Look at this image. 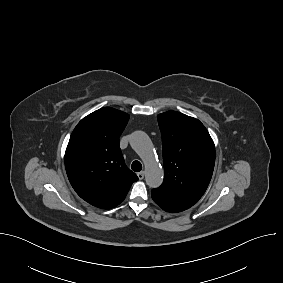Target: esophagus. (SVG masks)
I'll return each instance as SVG.
<instances>
[{
	"mask_svg": "<svg viewBox=\"0 0 283 283\" xmlns=\"http://www.w3.org/2000/svg\"><path fill=\"white\" fill-rule=\"evenodd\" d=\"M144 175H145V172L144 171H141L139 173H137V176L140 180H142L144 178Z\"/></svg>",
	"mask_w": 283,
	"mask_h": 283,
	"instance_id": "obj_1",
	"label": "esophagus"
}]
</instances>
